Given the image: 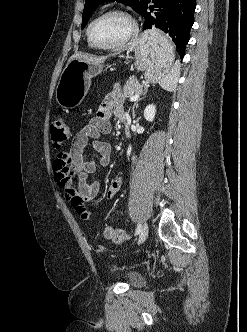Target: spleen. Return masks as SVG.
I'll return each mask as SVG.
<instances>
[{
	"mask_svg": "<svg viewBox=\"0 0 247 332\" xmlns=\"http://www.w3.org/2000/svg\"><path fill=\"white\" fill-rule=\"evenodd\" d=\"M179 73L180 64L176 63L172 70L159 80V85L167 91H174L177 86Z\"/></svg>",
	"mask_w": 247,
	"mask_h": 332,
	"instance_id": "1",
	"label": "spleen"
}]
</instances>
